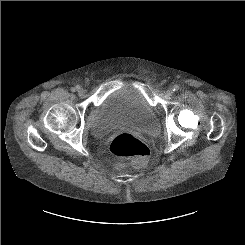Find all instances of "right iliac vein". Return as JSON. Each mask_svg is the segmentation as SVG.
Segmentation results:
<instances>
[{
	"mask_svg": "<svg viewBox=\"0 0 245 245\" xmlns=\"http://www.w3.org/2000/svg\"><path fill=\"white\" fill-rule=\"evenodd\" d=\"M85 93H86V90H85L84 88L80 87V88L78 89V94H79L80 96H83Z\"/></svg>",
	"mask_w": 245,
	"mask_h": 245,
	"instance_id": "63e3f726",
	"label": "right iliac vein"
}]
</instances>
